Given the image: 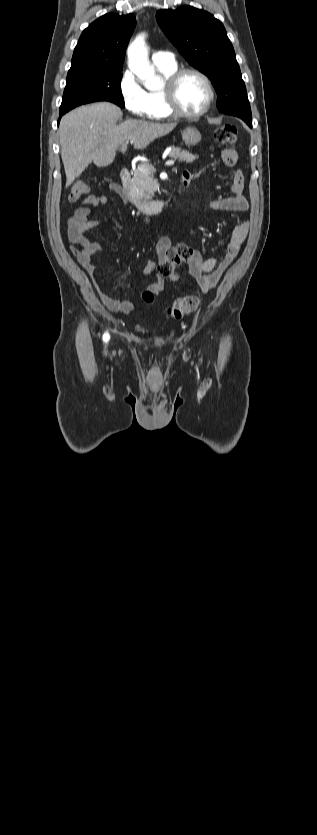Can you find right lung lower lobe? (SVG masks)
I'll return each instance as SVG.
<instances>
[{"label": "right lung lower lobe", "mask_w": 317, "mask_h": 835, "mask_svg": "<svg viewBox=\"0 0 317 835\" xmlns=\"http://www.w3.org/2000/svg\"><path fill=\"white\" fill-rule=\"evenodd\" d=\"M65 113H66V112H59L60 118H61V117H62V115H63V114H65ZM58 123H59V122H58Z\"/></svg>", "instance_id": "obj_1"}]
</instances>
